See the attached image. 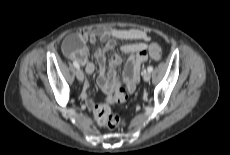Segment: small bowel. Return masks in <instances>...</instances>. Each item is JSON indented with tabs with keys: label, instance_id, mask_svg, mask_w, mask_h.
I'll use <instances>...</instances> for the list:
<instances>
[{
	"label": "small bowel",
	"instance_id": "1",
	"mask_svg": "<svg viewBox=\"0 0 230 155\" xmlns=\"http://www.w3.org/2000/svg\"><path fill=\"white\" fill-rule=\"evenodd\" d=\"M78 40L81 45L74 46L73 42ZM117 40L131 41L121 46L123 53L131 55L126 62L123 71V81L120 84L116 67L122 63L118 55H113L109 62L108 72H105L106 53L113 50ZM150 36L139 29L127 28H97L91 31H81L68 36L63 43V51L66 57L85 67L86 73L91 75L95 71V65L88 60L86 43L101 41L104 47L95 50L94 57L99 68L98 84L106 94V102L109 104L123 103L134 91L142 64L147 60V42ZM90 85L84 83L82 98L85 100L89 110L94 108L93 101L89 98Z\"/></svg>",
	"mask_w": 230,
	"mask_h": 155
}]
</instances>
